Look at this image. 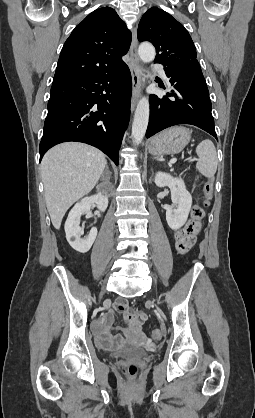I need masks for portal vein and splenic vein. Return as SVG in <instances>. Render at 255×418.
<instances>
[{"mask_svg":"<svg viewBox=\"0 0 255 418\" xmlns=\"http://www.w3.org/2000/svg\"><path fill=\"white\" fill-rule=\"evenodd\" d=\"M196 159H189V162H193V161H195ZM177 161V159L176 158H172L171 160H170V164H174L175 162Z\"/></svg>","mask_w":255,"mask_h":418,"instance_id":"18ae733b","label":"portal vein and splenic vein"}]
</instances>
